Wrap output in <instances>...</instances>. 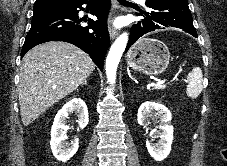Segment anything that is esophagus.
Returning <instances> with one entry per match:
<instances>
[{
  "instance_id": "esophagus-1",
  "label": "esophagus",
  "mask_w": 227,
  "mask_h": 166,
  "mask_svg": "<svg viewBox=\"0 0 227 166\" xmlns=\"http://www.w3.org/2000/svg\"><path fill=\"white\" fill-rule=\"evenodd\" d=\"M112 3H113V10L116 11L120 8L119 4H118V0H112ZM112 22V20H111ZM119 34V30L114 28L112 26V24L110 25L109 27V35H110V38L111 39H114L117 37V35Z\"/></svg>"
}]
</instances>
